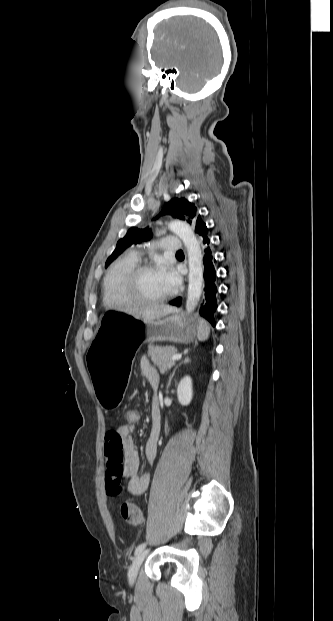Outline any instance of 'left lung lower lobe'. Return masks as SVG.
Here are the masks:
<instances>
[{
    "mask_svg": "<svg viewBox=\"0 0 333 621\" xmlns=\"http://www.w3.org/2000/svg\"><path fill=\"white\" fill-rule=\"evenodd\" d=\"M195 232L197 233V239L203 251V276L205 280V297L200 307V315L207 319L212 326H215L214 313L218 307L215 259L211 250L206 224L196 229ZM170 304L179 307L181 304V297L172 300Z\"/></svg>",
    "mask_w": 333,
    "mask_h": 621,
    "instance_id": "1",
    "label": "left lung lower lobe"
}]
</instances>
